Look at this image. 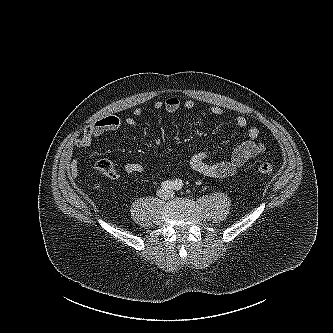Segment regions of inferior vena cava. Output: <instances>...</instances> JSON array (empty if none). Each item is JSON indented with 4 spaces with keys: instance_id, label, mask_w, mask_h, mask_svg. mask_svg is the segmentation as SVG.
<instances>
[{
    "instance_id": "602c4592",
    "label": "inferior vena cava",
    "mask_w": 333,
    "mask_h": 333,
    "mask_svg": "<svg viewBox=\"0 0 333 333\" xmlns=\"http://www.w3.org/2000/svg\"><path fill=\"white\" fill-rule=\"evenodd\" d=\"M170 197V195L169 196H167L166 198L168 199Z\"/></svg>"
}]
</instances>
